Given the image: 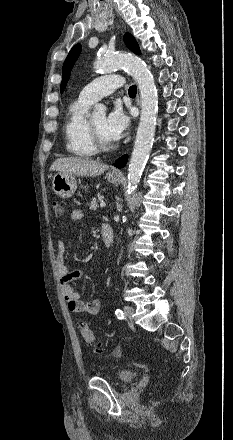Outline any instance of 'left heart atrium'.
<instances>
[{
	"label": "left heart atrium",
	"instance_id": "obj_1",
	"mask_svg": "<svg viewBox=\"0 0 233 440\" xmlns=\"http://www.w3.org/2000/svg\"><path fill=\"white\" fill-rule=\"evenodd\" d=\"M130 124L128 115L116 105L106 117V132L112 140L120 139Z\"/></svg>",
	"mask_w": 233,
	"mask_h": 440
}]
</instances>
